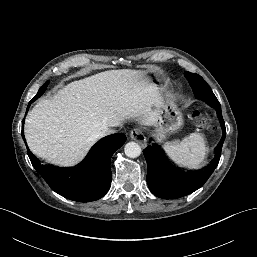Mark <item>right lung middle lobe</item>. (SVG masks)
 Listing matches in <instances>:
<instances>
[{
    "instance_id": "right-lung-middle-lobe-1",
    "label": "right lung middle lobe",
    "mask_w": 257,
    "mask_h": 257,
    "mask_svg": "<svg viewBox=\"0 0 257 257\" xmlns=\"http://www.w3.org/2000/svg\"><path fill=\"white\" fill-rule=\"evenodd\" d=\"M48 84H49V81L44 83V85L39 89L37 95L33 98V100H36L38 97H40L44 93V91L46 90Z\"/></svg>"
}]
</instances>
